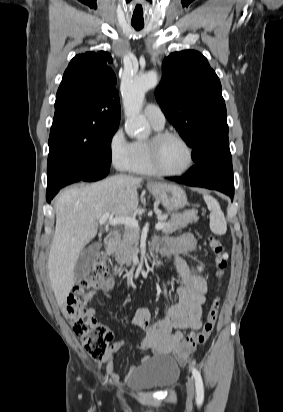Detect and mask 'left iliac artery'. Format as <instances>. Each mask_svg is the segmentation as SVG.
<instances>
[{
    "instance_id": "44dca946",
    "label": "left iliac artery",
    "mask_w": 283,
    "mask_h": 412,
    "mask_svg": "<svg viewBox=\"0 0 283 412\" xmlns=\"http://www.w3.org/2000/svg\"><path fill=\"white\" fill-rule=\"evenodd\" d=\"M192 375L195 379L197 400L198 401H203V399H204V387H203V381H202L201 374L195 367H192Z\"/></svg>"
}]
</instances>
